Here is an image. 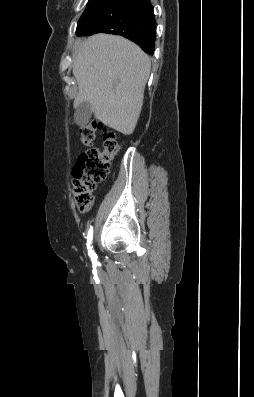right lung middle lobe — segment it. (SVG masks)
<instances>
[{
	"label": "right lung middle lobe",
	"mask_w": 254,
	"mask_h": 397,
	"mask_svg": "<svg viewBox=\"0 0 254 397\" xmlns=\"http://www.w3.org/2000/svg\"><path fill=\"white\" fill-rule=\"evenodd\" d=\"M105 1L106 0H89L84 13L78 21L77 29L82 27L90 18H92Z\"/></svg>",
	"instance_id": "1"
}]
</instances>
